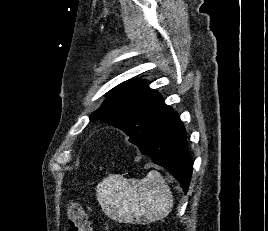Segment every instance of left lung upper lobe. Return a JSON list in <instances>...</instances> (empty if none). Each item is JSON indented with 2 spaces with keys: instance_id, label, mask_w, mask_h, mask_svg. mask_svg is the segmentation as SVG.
Listing matches in <instances>:
<instances>
[{
  "instance_id": "obj_1",
  "label": "left lung upper lobe",
  "mask_w": 268,
  "mask_h": 231,
  "mask_svg": "<svg viewBox=\"0 0 268 231\" xmlns=\"http://www.w3.org/2000/svg\"><path fill=\"white\" fill-rule=\"evenodd\" d=\"M171 111L146 81L132 79L112 89L90 120L101 119L123 130L136 143L147 138Z\"/></svg>"
}]
</instances>
